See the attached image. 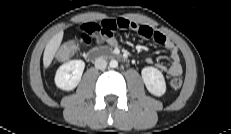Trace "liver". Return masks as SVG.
Listing matches in <instances>:
<instances>
[{
  "instance_id": "6515ba94",
  "label": "liver",
  "mask_w": 231,
  "mask_h": 134,
  "mask_svg": "<svg viewBox=\"0 0 231 134\" xmlns=\"http://www.w3.org/2000/svg\"><path fill=\"white\" fill-rule=\"evenodd\" d=\"M64 32L60 31L57 34H55L47 43L44 54H43V64L45 68H48L51 64L55 53L57 52L62 39H63Z\"/></svg>"
}]
</instances>
